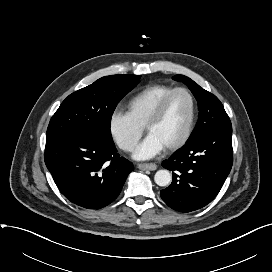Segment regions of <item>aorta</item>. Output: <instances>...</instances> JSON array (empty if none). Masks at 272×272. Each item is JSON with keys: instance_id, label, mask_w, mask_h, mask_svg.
<instances>
[{"instance_id": "aorta-1", "label": "aorta", "mask_w": 272, "mask_h": 272, "mask_svg": "<svg viewBox=\"0 0 272 272\" xmlns=\"http://www.w3.org/2000/svg\"><path fill=\"white\" fill-rule=\"evenodd\" d=\"M171 180L172 176L168 170H159L155 173L154 181L158 186H167Z\"/></svg>"}]
</instances>
